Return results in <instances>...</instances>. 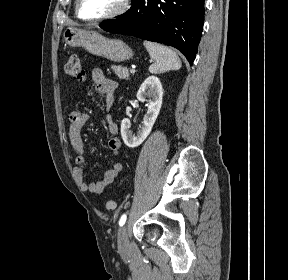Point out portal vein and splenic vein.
Wrapping results in <instances>:
<instances>
[{"label": "portal vein and splenic vein", "instance_id": "obj_1", "mask_svg": "<svg viewBox=\"0 0 288 280\" xmlns=\"http://www.w3.org/2000/svg\"><path fill=\"white\" fill-rule=\"evenodd\" d=\"M135 69H130V73H135Z\"/></svg>", "mask_w": 288, "mask_h": 280}]
</instances>
